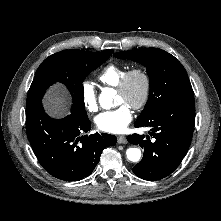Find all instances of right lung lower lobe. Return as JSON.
<instances>
[{
  "label": "right lung lower lobe",
  "instance_id": "1",
  "mask_svg": "<svg viewBox=\"0 0 221 221\" xmlns=\"http://www.w3.org/2000/svg\"><path fill=\"white\" fill-rule=\"evenodd\" d=\"M91 129L86 113L71 109L63 119L49 117L42 103L26 107V132L35 156L53 177L79 181L89 176L104 148L116 144L106 133L82 136Z\"/></svg>",
  "mask_w": 221,
  "mask_h": 221
}]
</instances>
